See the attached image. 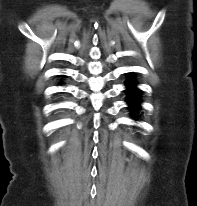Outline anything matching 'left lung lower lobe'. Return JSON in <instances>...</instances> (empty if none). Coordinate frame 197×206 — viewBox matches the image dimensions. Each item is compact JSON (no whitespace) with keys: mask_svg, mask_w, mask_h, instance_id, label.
Instances as JSON below:
<instances>
[{"mask_svg":"<svg viewBox=\"0 0 197 206\" xmlns=\"http://www.w3.org/2000/svg\"><path fill=\"white\" fill-rule=\"evenodd\" d=\"M136 81L134 80V74H128V80L126 82V93H127V100L126 102L129 105V109L133 115V118L136 119V113L140 109V90L136 87Z\"/></svg>","mask_w":197,"mask_h":206,"instance_id":"1","label":"left lung lower lobe"}]
</instances>
